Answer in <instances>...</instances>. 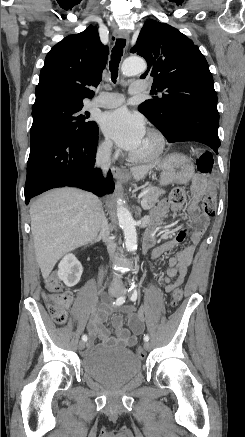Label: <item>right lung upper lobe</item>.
Here are the masks:
<instances>
[{"label":"right lung upper lobe","instance_id":"1","mask_svg":"<svg viewBox=\"0 0 245 437\" xmlns=\"http://www.w3.org/2000/svg\"><path fill=\"white\" fill-rule=\"evenodd\" d=\"M108 47L99 38L97 28L90 25L84 32L69 35L47 54L36 87L33 107L51 102L83 104L101 80Z\"/></svg>","mask_w":245,"mask_h":437}]
</instances>
